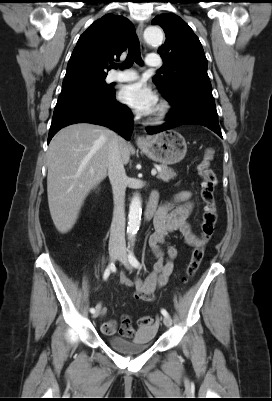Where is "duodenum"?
I'll return each mask as SVG.
<instances>
[{
    "label": "duodenum",
    "mask_w": 272,
    "mask_h": 401,
    "mask_svg": "<svg viewBox=\"0 0 272 401\" xmlns=\"http://www.w3.org/2000/svg\"><path fill=\"white\" fill-rule=\"evenodd\" d=\"M157 199V194H152L147 202V206L145 209V218L147 220H150L154 216L157 207Z\"/></svg>",
    "instance_id": "1"
}]
</instances>
